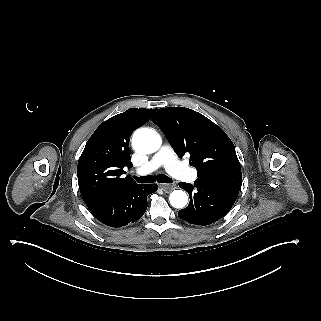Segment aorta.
<instances>
[{
  "label": "aorta",
  "instance_id": "aorta-1",
  "mask_svg": "<svg viewBox=\"0 0 321 321\" xmlns=\"http://www.w3.org/2000/svg\"><path fill=\"white\" fill-rule=\"evenodd\" d=\"M162 144L161 137L153 129L141 128L132 137L133 148L143 154L156 152ZM170 204L174 208L182 209L188 202L187 194L182 190H174L169 196Z\"/></svg>",
  "mask_w": 321,
  "mask_h": 321
}]
</instances>
